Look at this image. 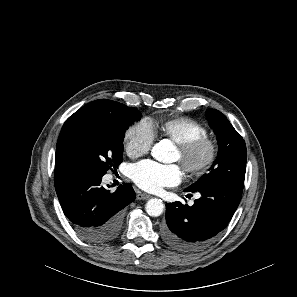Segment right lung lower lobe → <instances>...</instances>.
<instances>
[{"mask_svg": "<svg viewBox=\"0 0 297 297\" xmlns=\"http://www.w3.org/2000/svg\"><path fill=\"white\" fill-rule=\"evenodd\" d=\"M101 180V175L85 169L55 168V189L64 214L81 237L94 243H107L119 235L123 208L135 199L129 183L111 193Z\"/></svg>", "mask_w": 297, "mask_h": 297, "instance_id": "right-lung-lower-lobe-1", "label": "right lung lower lobe"}]
</instances>
